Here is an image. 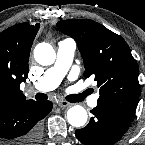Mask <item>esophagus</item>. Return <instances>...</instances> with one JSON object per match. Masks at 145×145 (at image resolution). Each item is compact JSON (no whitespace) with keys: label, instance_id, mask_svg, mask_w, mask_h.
I'll list each match as a JSON object with an SVG mask.
<instances>
[{"label":"esophagus","instance_id":"obj_1","mask_svg":"<svg viewBox=\"0 0 145 145\" xmlns=\"http://www.w3.org/2000/svg\"><path fill=\"white\" fill-rule=\"evenodd\" d=\"M57 104L61 108H65V107H70L71 106V103H69V102H67L65 100H59V101H57Z\"/></svg>","mask_w":145,"mask_h":145}]
</instances>
